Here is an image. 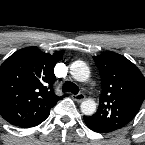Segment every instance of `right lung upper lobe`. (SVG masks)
<instances>
[{"label": "right lung upper lobe", "instance_id": "obj_1", "mask_svg": "<svg viewBox=\"0 0 145 145\" xmlns=\"http://www.w3.org/2000/svg\"><path fill=\"white\" fill-rule=\"evenodd\" d=\"M62 55L27 47L4 61L0 66V115L7 122L19 127L36 122L67 96H57L53 91V68Z\"/></svg>", "mask_w": 145, "mask_h": 145}]
</instances>
